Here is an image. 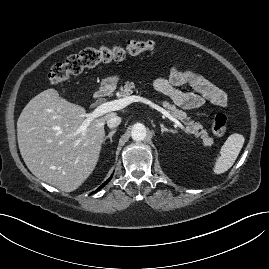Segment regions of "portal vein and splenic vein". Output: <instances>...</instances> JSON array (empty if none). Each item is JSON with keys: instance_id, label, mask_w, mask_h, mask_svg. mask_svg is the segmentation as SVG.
I'll return each instance as SVG.
<instances>
[{"instance_id": "portal-vein-and-splenic-vein-1", "label": "portal vein and splenic vein", "mask_w": 269, "mask_h": 269, "mask_svg": "<svg viewBox=\"0 0 269 269\" xmlns=\"http://www.w3.org/2000/svg\"><path fill=\"white\" fill-rule=\"evenodd\" d=\"M132 102H142L144 104L149 105L150 107L161 112L169 120L174 122L176 126L180 127L181 129H184V126L164 108L158 106L157 104L153 103L149 99H146V98H143L140 96H129V97L105 102V103L101 104L100 106H98L91 114L88 115V117L85 119V121L80 126L79 131L84 134V132L86 131L90 122L93 121L95 118L100 117V116H102L108 112H111V111H117V110L123 109L126 106H128L129 104H131Z\"/></svg>"}]
</instances>
